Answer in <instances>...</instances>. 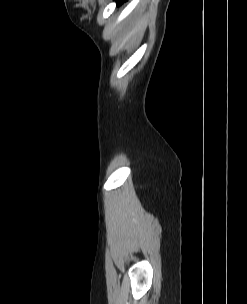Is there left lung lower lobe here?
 <instances>
[{"instance_id": "0a47b994", "label": "left lung lower lobe", "mask_w": 247, "mask_h": 304, "mask_svg": "<svg viewBox=\"0 0 247 304\" xmlns=\"http://www.w3.org/2000/svg\"><path fill=\"white\" fill-rule=\"evenodd\" d=\"M117 2V5L122 4L123 2H125L126 0H115Z\"/></svg>"}]
</instances>
